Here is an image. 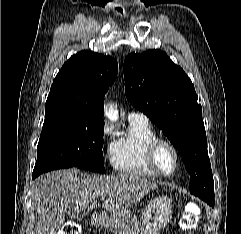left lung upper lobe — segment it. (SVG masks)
Returning <instances> with one entry per match:
<instances>
[{
    "instance_id": "5c2ea615",
    "label": "left lung upper lobe",
    "mask_w": 241,
    "mask_h": 234,
    "mask_svg": "<svg viewBox=\"0 0 241 234\" xmlns=\"http://www.w3.org/2000/svg\"><path fill=\"white\" fill-rule=\"evenodd\" d=\"M125 94L147 115L183 157L190 192L214 206V181L202 107L190 78L165 52L129 54L123 65Z\"/></svg>"
}]
</instances>
